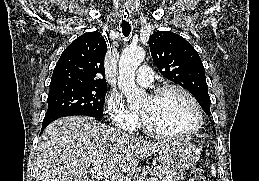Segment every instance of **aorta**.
Segmentation results:
<instances>
[{"label":"aorta","instance_id":"762f6f07","mask_svg":"<svg viewBox=\"0 0 259 181\" xmlns=\"http://www.w3.org/2000/svg\"><path fill=\"white\" fill-rule=\"evenodd\" d=\"M145 58L142 47L126 48L119 59L118 86L126 97L129 109L139 108L146 98V93L136 87L135 73Z\"/></svg>","mask_w":259,"mask_h":181}]
</instances>
